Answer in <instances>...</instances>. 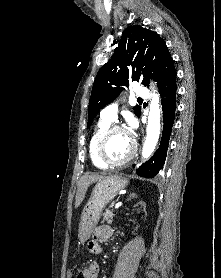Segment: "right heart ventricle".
Segmentation results:
<instances>
[{
	"label": "right heart ventricle",
	"mask_w": 221,
	"mask_h": 278,
	"mask_svg": "<svg viewBox=\"0 0 221 278\" xmlns=\"http://www.w3.org/2000/svg\"><path fill=\"white\" fill-rule=\"evenodd\" d=\"M110 124H111V122L101 119L95 126L93 133L89 139V143H88V151H89V156H90L91 162L93 163L94 166L101 168V169H105L107 167L104 164H102L100 162V160L98 159L97 154H96V145H97L100 135L108 126H110Z\"/></svg>",
	"instance_id": "right-heart-ventricle-1"
}]
</instances>
